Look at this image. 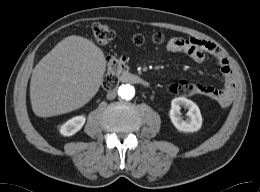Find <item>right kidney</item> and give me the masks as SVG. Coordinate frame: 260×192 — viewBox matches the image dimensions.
I'll use <instances>...</instances> for the list:
<instances>
[{
  "mask_svg": "<svg viewBox=\"0 0 260 192\" xmlns=\"http://www.w3.org/2000/svg\"><path fill=\"white\" fill-rule=\"evenodd\" d=\"M86 117L83 115L75 116L69 119L60 127V134L63 136H72L77 133L85 124Z\"/></svg>",
  "mask_w": 260,
  "mask_h": 192,
  "instance_id": "ca27d5eb",
  "label": "right kidney"
}]
</instances>
